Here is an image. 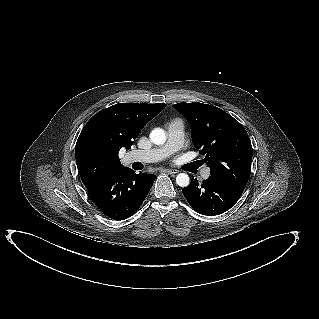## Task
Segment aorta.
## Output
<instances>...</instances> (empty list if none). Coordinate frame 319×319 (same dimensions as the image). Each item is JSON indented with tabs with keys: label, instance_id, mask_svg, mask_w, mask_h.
I'll return each mask as SVG.
<instances>
[{
	"label": "aorta",
	"instance_id": "1",
	"mask_svg": "<svg viewBox=\"0 0 319 319\" xmlns=\"http://www.w3.org/2000/svg\"><path fill=\"white\" fill-rule=\"evenodd\" d=\"M166 133L162 128H154L150 133V140L156 145H162L166 142ZM189 176L185 173H180L176 177V183L180 187H186L189 185Z\"/></svg>",
	"mask_w": 319,
	"mask_h": 319
}]
</instances>
